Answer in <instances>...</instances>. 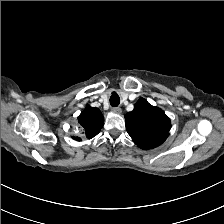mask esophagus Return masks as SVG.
<instances>
[{"mask_svg": "<svg viewBox=\"0 0 224 224\" xmlns=\"http://www.w3.org/2000/svg\"><path fill=\"white\" fill-rule=\"evenodd\" d=\"M111 111H112L113 113L120 114L122 110H121L120 107H113V108L111 109Z\"/></svg>", "mask_w": 224, "mask_h": 224, "instance_id": "1", "label": "esophagus"}]
</instances>
